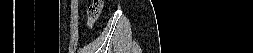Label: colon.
<instances>
[{
	"instance_id": "colon-1",
	"label": "colon",
	"mask_w": 253,
	"mask_h": 53,
	"mask_svg": "<svg viewBox=\"0 0 253 53\" xmlns=\"http://www.w3.org/2000/svg\"><path fill=\"white\" fill-rule=\"evenodd\" d=\"M103 6V0H92L87 9V27H92L99 17Z\"/></svg>"
}]
</instances>
